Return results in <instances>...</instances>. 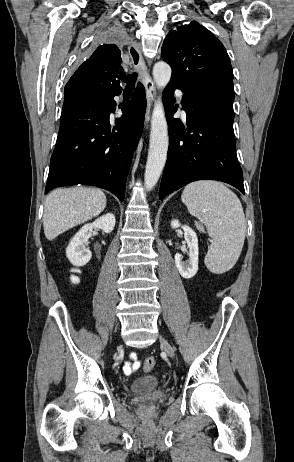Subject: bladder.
I'll return each instance as SVG.
<instances>
[{
  "label": "bladder",
  "mask_w": 294,
  "mask_h": 462,
  "mask_svg": "<svg viewBox=\"0 0 294 462\" xmlns=\"http://www.w3.org/2000/svg\"><path fill=\"white\" fill-rule=\"evenodd\" d=\"M160 385L161 380L159 378L148 376L133 381L128 390L131 394H141L153 391L159 388Z\"/></svg>",
  "instance_id": "1"
}]
</instances>
